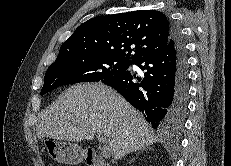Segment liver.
<instances>
[{"instance_id": "6515ba94", "label": "liver", "mask_w": 231, "mask_h": 166, "mask_svg": "<svg viewBox=\"0 0 231 166\" xmlns=\"http://www.w3.org/2000/svg\"><path fill=\"white\" fill-rule=\"evenodd\" d=\"M99 133L107 137L115 160L158 141L143 115L101 82L69 87L40 114L36 125L39 139L78 142Z\"/></svg>"}]
</instances>
